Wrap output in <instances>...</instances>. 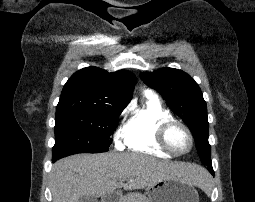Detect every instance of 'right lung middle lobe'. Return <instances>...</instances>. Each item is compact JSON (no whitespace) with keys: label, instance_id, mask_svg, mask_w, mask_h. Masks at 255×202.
<instances>
[{"label":"right lung middle lobe","instance_id":"1","mask_svg":"<svg viewBox=\"0 0 255 202\" xmlns=\"http://www.w3.org/2000/svg\"><path fill=\"white\" fill-rule=\"evenodd\" d=\"M123 109L85 110L56 115L52 160L82 152H106Z\"/></svg>","mask_w":255,"mask_h":202}]
</instances>
